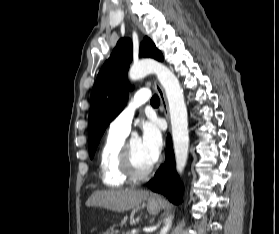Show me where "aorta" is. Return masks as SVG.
I'll use <instances>...</instances> for the list:
<instances>
[{
  "label": "aorta",
  "instance_id": "762f6f07",
  "mask_svg": "<svg viewBox=\"0 0 279 234\" xmlns=\"http://www.w3.org/2000/svg\"><path fill=\"white\" fill-rule=\"evenodd\" d=\"M150 73L157 76L167 96L176 169L181 174L186 166L189 151L188 116L183 90L174 73L167 66L152 59L133 64L129 70V78L136 81ZM170 227L171 219L168 218L160 234H167Z\"/></svg>",
  "mask_w": 279,
  "mask_h": 234
}]
</instances>
